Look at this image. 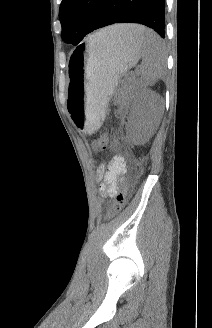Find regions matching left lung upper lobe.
<instances>
[{"label": "left lung upper lobe", "mask_w": 212, "mask_h": 328, "mask_svg": "<svg viewBox=\"0 0 212 328\" xmlns=\"http://www.w3.org/2000/svg\"><path fill=\"white\" fill-rule=\"evenodd\" d=\"M105 0H62L59 19L62 38L77 45L94 30Z\"/></svg>", "instance_id": "5c2ea615"}]
</instances>
